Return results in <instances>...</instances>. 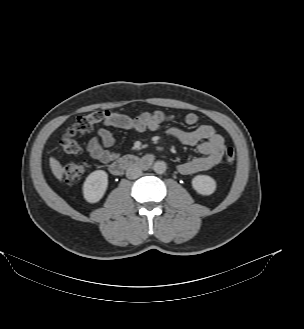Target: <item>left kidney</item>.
Returning <instances> with one entry per match:
<instances>
[{"mask_svg": "<svg viewBox=\"0 0 304 329\" xmlns=\"http://www.w3.org/2000/svg\"><path fill=\"white\" fill-rule=\"evenodd\" d=\"M192 187L201 195H211L217 187L216 181L208 175H197L192 179Z\"/></svg>", "mask_w": 304, "mask_h": 329, "instance_id": "1", "label": "left kidney"}]
</instances>
